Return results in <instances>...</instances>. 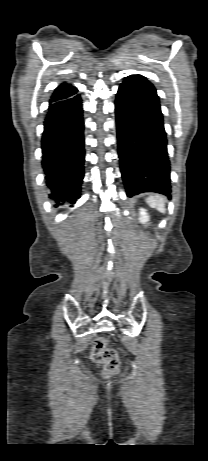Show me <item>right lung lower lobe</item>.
Returning a JSON list of instances; mask_svg holds the SVG:
<instances>
[{
  "label": "right lung lower lobe",
  "mask_w": 208,
  "mask_h": 461,
  "mask_svg": "<svg viewBox=\"0 0 208 461\" xmlns=\"http://www.w3.org/2000/svg\"><path fill=\"white\" fill-rule=\"evenodd\" d=\"M83 131L79 94L50 103L42 135V166L50 197L57 203L74 204L80 197L85 160Z\"/></svg>",
  "instance_id": "1"
}]
</instances>
